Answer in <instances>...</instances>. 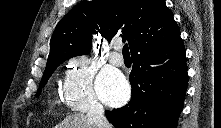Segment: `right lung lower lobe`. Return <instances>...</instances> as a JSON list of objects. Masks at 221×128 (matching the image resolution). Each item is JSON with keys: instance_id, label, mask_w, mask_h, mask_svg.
<instances>
[{"instance_id": "1", "label": "right lung lower lobe", "mask_w": 221, "mask_h": 128, "mask_svg": "<svg viewBox=\"0 0 221 128\" xmlns=\"http://www.w3.org/2000/svg\"><path fill=\"white\" fill-rule=\"evenodd\" d=\"M130 102L106 111L115 128H176L187 90L184 43L132 55Z\"/></svg>"}]
</instances>
